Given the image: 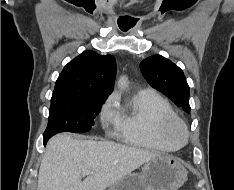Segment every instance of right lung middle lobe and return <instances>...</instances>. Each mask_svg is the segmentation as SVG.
<instances>
[{"label": "right lung middle lobe", "mask_w": 234, "mask_h": 190, "mask_svg": "<svg viewBox=\"0 0 234 190\" xmlns=\"http://www.w3.org/2000/svg\"><path fill=\"white\" fill-rule=\"evenodd\" d=\"M104 99L53 92L44 138L60 132H87L94 125Z\"/></svg>", "instance_id": "1"}]
</instances>
